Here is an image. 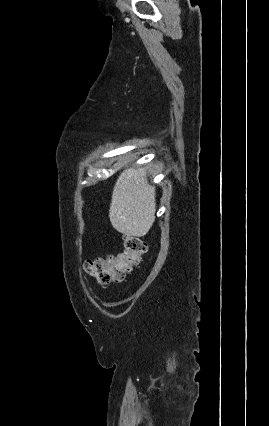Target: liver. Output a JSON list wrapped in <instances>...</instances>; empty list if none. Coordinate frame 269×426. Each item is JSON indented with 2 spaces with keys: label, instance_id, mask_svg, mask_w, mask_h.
Returning a JSON list of instances; mask_svg holds the SVG:
<instances>
[{
  "label": "liver",
  "instance_id": "obj_1",
  "mask_svg": "<svg viewBox=\"0 0 269 426\" xmlns=\"http://www.w3.org/2000/svg\"><path fill=\"white\" fill-rule=\"evenodd\" d=\"M145 168H127L118 177L109 210L114 229L127 236H145L155 221V187Z\"/></svg>",
  "mask_w": 269,
  "mask_h": 426
}]
</instances>
